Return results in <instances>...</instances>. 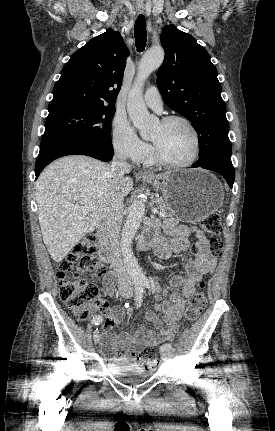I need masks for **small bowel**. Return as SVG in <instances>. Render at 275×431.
<instances>
[{"label": "small bowel", "mask_w": 275, "mask_h": 431, "mask_svg": "<svg viewBox=\"0 0 275 431\" xmlns=\"http://www.w3.org/2000/svg\"><path fill=\"white\" fill-rule=\"evenodd\" d=\"M164 232L171 237L168 241L163 236L153 239L156 254L163 259L171 254L186 251L190 246L189 237L195 235L199 254L187 263V275H176L170 279V287L174 289L169 301L159 302L154 310L145 314V320L151 327L141 325L134 335L126 333H109L108 330L123 321L124 307L107 308L102 304L107 319L101 336V352L110 362H138L140 353L147 347L153 348L173 338L175 329L186 306V299L194 292L202 278L211 274L216 267V258L207 254L208 241L203 233L194 227L178 224L175 219H167L163 224ZM103 285L111 297L115 296V277L108 273Z\"/></svg>", "instance_id": "c3829d8e"}]
</instances>
